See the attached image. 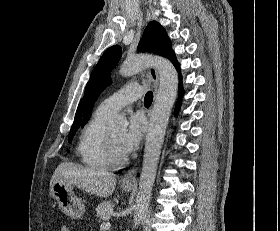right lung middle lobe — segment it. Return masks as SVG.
Listing matches in <instances>:
<instances>
[{"label":"right lung middle lobe","instance_id":"right-lung-middle-lobe-1","mask_svg":"<svg viewBox=\"0 0 280 231\" xmlns=\"http://www.w3.org/2000/svg\"><path fill=\"white\" fill-rule=\"evenodd\" d=\"M78 128L76 129H71L70 134H69V141L71 142V139L73 137V135L75 134V132L77 131Z\"/></svg>","mask_w":280,"mask_h":231}]
</instances>
